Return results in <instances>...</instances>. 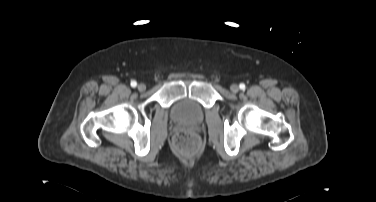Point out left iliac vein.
<instances>
[{"label":"left iliac vein","instance_id":"4c4485c4","mask_svg":"<svg viewBox=\"0 0 376 202\" xmlns=\"http://www.w3.org/2000/svg\"><path fill=\"white\" fill-rule=\"evenodd\" d=\"M230 90L233 92V93H237L239 91V86L237 84H232L230 86Z\"/></svg>","mask_w":376,"mask_h":202}]
</instances>
